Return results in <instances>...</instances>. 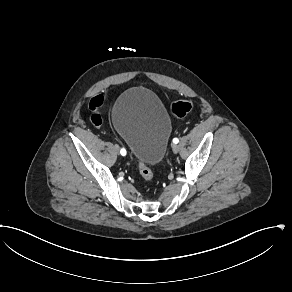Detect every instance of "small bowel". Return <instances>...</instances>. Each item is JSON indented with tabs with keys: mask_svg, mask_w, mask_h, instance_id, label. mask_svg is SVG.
I'll return each mask as SVG.
<instances>
[{
	"mask_svg": "<svg viewBox=\"0 0 292 292\" xmlns=\"http://www.w3.org/2000/svg\"><path fill=\"white\" fill-rule=\"evenodd\" d=\"M107 93H108V94H111V93H112V90H111V89H108V90H107Z\"/></svg>",
	"mask_w": 292,
	"mask_h": 292,
	"instance_id": "c3829d8e",
	"label": "small bowel"
}]
</instances>
